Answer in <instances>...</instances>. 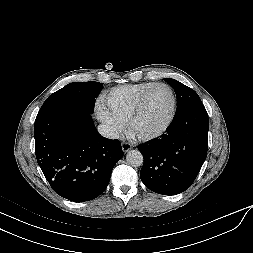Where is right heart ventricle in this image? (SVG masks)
Instances as JSON below:
<instances>
[{
  "label": "right heart ventricle",
  "instance_id": "1",
  "mask_svg": "<svg viewBox=\"0 0 253 253\" xmlns=\"http://www.w3.org/2000/svg\"><path fill=\"white\" fill-rule=\"evenodd\" d=\"M152 84L154 83L144 82L113 88L104 97V105L117 120L126 124L140 95Z\"/></svg>",
  "mask_w": 253,
  "mask_h": 253
}]
</instances>
